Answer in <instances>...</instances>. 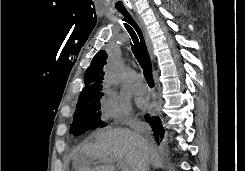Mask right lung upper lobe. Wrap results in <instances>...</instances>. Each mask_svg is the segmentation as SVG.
Listing matches in <instances>:
<instances>
[{
  "mask_svg": "<svg viewBox=\"0 0 245 171\" xmlns=\"http://www.w3.org/2000/svg\"><path fill=\"white\" fill-rule=\"evenodd\" d=\"M106 59L107 54L105 51H100L94 56L85 74L86 86L81 91L79 100L102 94V80L104 75L102 70L106 64Z\"/></svg>",
  "mask_w": 245,
  "mask_h": 171,
  "instance_id": "cb5924a9",
  "label": "right lung upper lobe"
}]
</instances>
